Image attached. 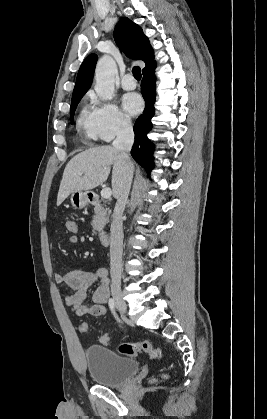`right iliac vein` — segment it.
<instances>
[{
  "mask_svg": "<svg viewBox=\"0 0 267 419\" xmlns=\"http://www.w3.org/2000/svg\"><path fill=\"white\" fill-rule=\"evenodd\" d=\"M113 300L115 302L116 308L122 313L125 314L127 311L126 303L124 302L122 295L119 291L113 292Z\"/></svg>",
  "mask_w": 267,
  "mask_h": 419,
  "instance_id": "1",
  "label": "right iliac vein"
}]
</instances>
